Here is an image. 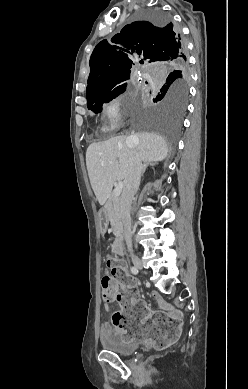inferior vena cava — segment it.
<instances>
[{"label":"inferior vena cava","instance_id":"602c4592","mask_svg":"<svg viewBox=\"0 0 248 389\" xmlns=\"http://www.w3.org/2000/svg\"><path fill=\"white\" fill-rule=\"evenodd\" d=\"M131 149L129 158V168L124 180V189L120 198V216L124 226V237L127 248L132 249V231L130 209L134 195L136 194L141 179L143 169L142 160L134 145L128 141Z\"/></svg>","mask_w":248,"mask_h":389}]
</instances>
